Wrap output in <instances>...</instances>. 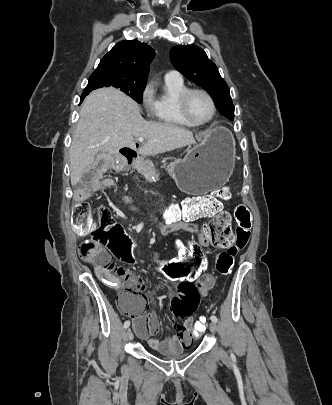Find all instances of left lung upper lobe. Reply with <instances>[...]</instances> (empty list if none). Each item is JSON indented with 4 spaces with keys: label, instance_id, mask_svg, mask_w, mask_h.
<instances>
[{
    "label": "left lung upper lobe",
    "instance_id": "obj_1",
    "mask_svg": "<svg viewBox=\"0 0 332 405\" xmlns=\"http://www.w3.org/2000/svg\"><path fill=\"white\" fill-rule=\"evenodd\" d=\"M170 59L180 73L211 95L223 116L234 119V106L228 85L203 49L193 45L174 46L170 50Z\"/></svg>",
    "mask_w": 332,
    "mask_h": 405
}]
</instances>
